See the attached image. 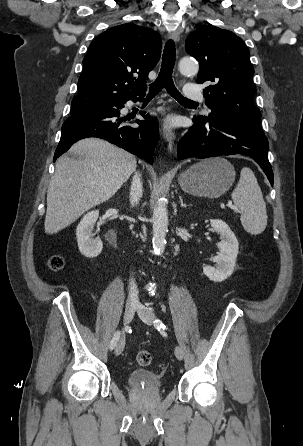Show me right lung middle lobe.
<instances>
[{
  "label": "right lung middle lobe",
  "instance_id": "dd1d6c3e",
  "mask_svg": "<svg viewBox=\"0 0 303 446\" xmlns=\"http://www.w3.org/2000/svg\"><path fill=\"white\" fill-rule=\"evenodd\" d=\"M71 114L80 113L89 110V104L81 100H73L71 103Z\"/></svg>",
  "mask_w": 303,
  "mask_h": 446
}]
</instances>
